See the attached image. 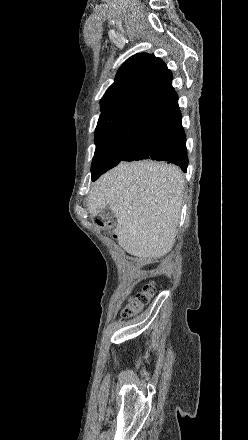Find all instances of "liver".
I'll return each instance as SVG.
<instances>
[{
  "mask_svg": "<svg viewBox=\"0 0 248 440\" xmlns=\"http://www.w3.org/2000/svg\"><path fill=\"white\" fill-rule=\"evenodd\" d=\"M183 189L184 177L176 166L121 162L96 181L87 209L95 216L109 205L123 249L139 258H160L175 243Z\"/></svg>",
  "mask_w": 248,
  "mask_h": 440,
  "instance_id": "liver-1",
  "label": "liver"
}]
</instances>
